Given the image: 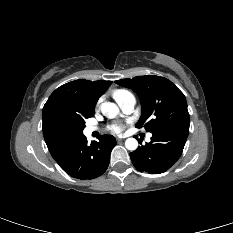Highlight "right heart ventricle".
<instances>
[{
	"label": "right heart ventricle",
	"instance_id": "right-heart-ventricle-1",
	"mask_svg": "<svg viewBox=\"0 0 233 233\" xmlns=\"http://www.w3.org/2000/svg\"><path fill=\"white\" fill-rule=\"evenodd\" d=\"M130 96H133L131 94V92H129L128 90H125V89H118V90H115L113 92V97L115 98V100L117 102L121 101L122 99L126 98V97H130Z\"/></svg>",
	"mask_w": 233,
	"mask_h": 233
}]
</instances>
